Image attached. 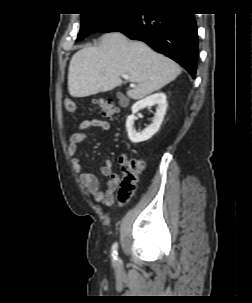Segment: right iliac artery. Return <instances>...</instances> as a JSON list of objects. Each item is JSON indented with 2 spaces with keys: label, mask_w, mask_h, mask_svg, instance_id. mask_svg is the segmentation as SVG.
Listing matches in <instances>:
<instances>
[{
  "label": "right iliac artery",
  "mask_w": 252,
  "mask_h": 303,
  "mask_svg": "<svg viewBox=\"0 0 252 303\" xmlns=\"http://www.w3.org/2000/svg\"><path fill=\"white\" fill-rule=\"evenodd\" d=\"M117 248H118V244L117 243H114L112 245V249H111V256L113 258V260H117Z\"/></svg>",
  "instance_id": "82829eb1"
}]
</instances>
